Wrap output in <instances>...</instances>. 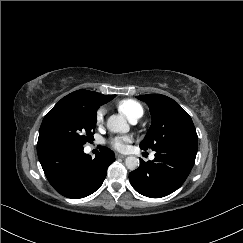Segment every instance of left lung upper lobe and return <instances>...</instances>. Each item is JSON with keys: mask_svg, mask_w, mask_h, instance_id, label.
I'll use <instances>...</instances> for the list:
<instances>
[{"mask_svg": "<svg viewBox=\"0 0 243 243\" xmlns=\"http://www.w3.org/2000/svg\"><path fill=\"white\" fill-rule=\"evenodd\" d=\"M150 108L152 123L140 144L143 150H157L163 145L184 138H197L191 117L173 99L161 94L137 96Z\"/></svg>", "mask_w": 243, "mask_h": 243, "instance_id": "1", "label": "left lung upper lobe"}]
</instances>
